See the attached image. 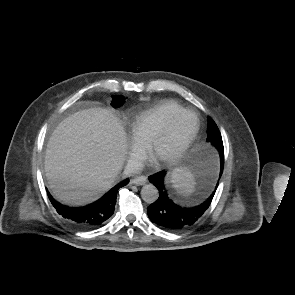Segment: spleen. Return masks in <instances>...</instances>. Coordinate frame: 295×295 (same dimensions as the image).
Here are the masks:
<instances>
[{
  "instance_id": "3e777b00",
  "label": "spleen",
  "mask_w": 295,
  "mask_h": 295,
  "mask_svg": "<svg viewBox=\"0 0 295 295\" xmlns=\"http://www.w3.org/2000/svg\"><path fill=\"white\" fill-rule=\"evenodd\" d=\"M171 181L177 192L183 196H189L196 185L194 174L185 169H175Z\"/></svg>"
}]
</instances>
